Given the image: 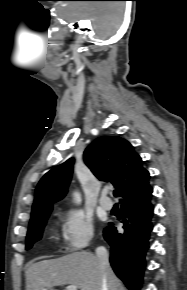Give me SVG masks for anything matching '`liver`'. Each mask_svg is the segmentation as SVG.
Listing matches in <instances>:
<instances>
[{
    "label": "liver",
    "instance_id": "6515ba94",
    "mask_svg": "<svg viewBox=\"0 0 187 290\" xmlns=\"http://www.w3.org/2000/svg\"><path fill=\"white\" fill-rule=\"evenodd\" d=\"M108 290H121L111 267H103L94 254L75 252L57 259L42 260L26 269V290H54L61 285H76L81 290H101L103 276Z\"/></svg>",
    "mask_w": 187,
    "mask_h": 290
}]
</instances>
